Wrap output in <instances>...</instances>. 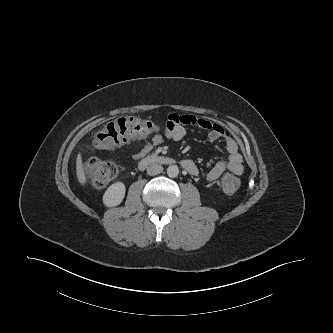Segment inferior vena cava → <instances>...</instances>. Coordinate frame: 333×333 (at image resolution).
<instances>
[{
    "instance_id": "1",
    "label": "inferior vena cava",
    "mask_w": 333,
    "mask_h": 333,
    "mask_svg": "<svg viewBox=\"0 0 333 333\" xmlns=\"http://www.w3.org/2000/svg\"><path fill=\"white\" fill-rule=\"evenodd\" d=\"M163 171V167L160 164H151L147 167V173L150 176L157 175Z\"/></svg>"
}]
</instances>
